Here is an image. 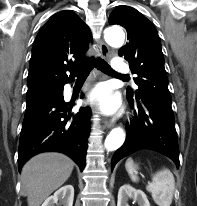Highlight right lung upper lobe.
<instances>
[{
    "mask_svg": "<svg viewBox=\"0 0 197 206\" xmlns=\"http://www.w3.org/2000/svg\"><path fill=\"white\" fill-rule=\"evenodd\" d=\"M90 30L74 12L54 14L41 28L32 47L28 90L62 89L74 79L87 58ZM67 73H70L67 74Z\"/></svg>",
    "mask_w": 197,
    "mask_h": 206,
    "instance_id": "1",
    "label": "right lung upper lobe"
}]
</instances>
